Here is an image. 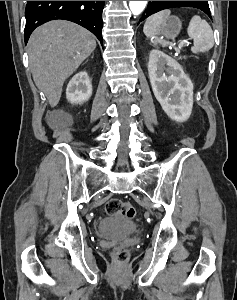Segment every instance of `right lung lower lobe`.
<instances>
[{
  "mask_svg": "<svg viewBox=\"0 0 237 300\" xmlns=\"http://www.w3.org/2000/svg\"><path fill=\"white\" fill-rule=\"evenodd\" d=\"M103 8L104 1H28L25 10V43L36 27L50 20L64 19L85 27L103 45Z\"/></svg>",
  "mask_w": 237,
  "mask_h": 300,
  "instance_id": "right-lung-lower-lobe-1",
  "label": "right lung lower lobe"
}]
</instances>
